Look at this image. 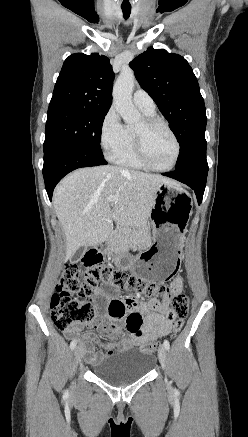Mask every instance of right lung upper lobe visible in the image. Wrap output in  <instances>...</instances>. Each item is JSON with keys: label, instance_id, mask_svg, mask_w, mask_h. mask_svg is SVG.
I'll return each mask as SVG.
<instances>
[{"label": "right lung upper lobe", "instance_id": "obj_1", "mask_svg": "<svg viewBox=\"0 0 248 437\" xmlns=\"http://www.w3.org/2000/svg\"><path fill=\"white\" fill-rule=\"evenodd\" d=\"M114 73L109 59L97 53L70 55L63 64L50 103H68L108 111Z\"/></svg>", "mask_w": 248, "mask_h": 437}]
</instances>
